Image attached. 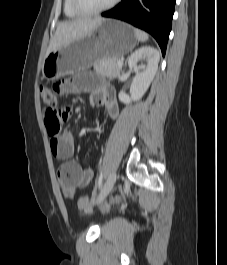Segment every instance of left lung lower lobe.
<instances>
[{"mask_svg":"<svg viewBox=\"0 0 227 265\" xmlns=\"http://www.w3.org/2000/svg\"><path fill=\"white\" fill-rule=\"evenodd\" d=\"M175 3L176 0H123L102 16L126 21L150 33L165 55Z\"/></svg>","mask_w":227,"mask_h":265,"instance_id":"left-lung-lower-lobe-1","label":"left lung lower lobe"}]
</instances>
